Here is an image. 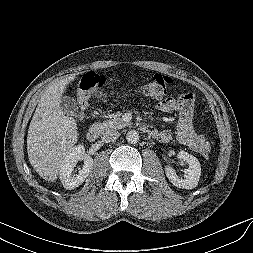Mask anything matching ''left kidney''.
Returning <instances> with one entry per match:
<instances>
[{
	"mask_svg": "<svg viewBox=\"0 0 253 253\" xmlns=\"http://www.w3.org/2000/svg\"><path fill=\"white\" fill-rule=\"evenodd\" d=\"M177 156L187 162L188 169L184 170V177L180 178L172 167L167 166L165 168L167 178L176 187L183 189L195 188L201 175V166L198 159L185 151H180Z\"/></svg>",
	"mask_w": 253,
	"mask_h": 253,
	"instance_id": "obj_1",
	"label": "left kidney"
}]
</instances>
